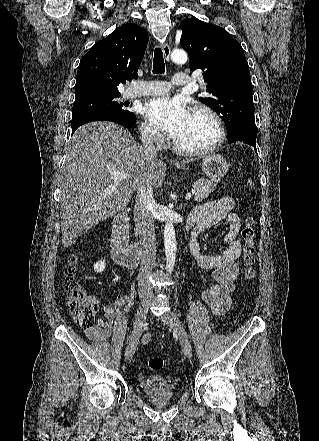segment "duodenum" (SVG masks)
<instances>
[{"mask_svg":"<svg viewBox=\"0 0 319 441\" xmlns=\"http://www.w3.org/2000/svg\"><path fill=\"white\" fill-rule=\"evenodd\" d=\"M128 225L129 219L126 211L116 215L111 237V253L116 263L126 268H135L139 264L142 248L138 244L128 245Z\"/></svg>","mask_w":319,"mask_h":441,"instance_id":"obj_1","label":"duodenum"}]
</instances>
